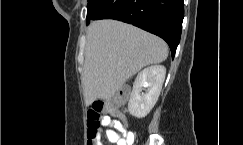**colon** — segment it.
Wrapping results in <instances>:
<instances>
[{
  "mask_svg": "<svg viewBox=\"0 0 243 145\" xmlns=\"http://www.w3.org/2000/svg\"><path fill=\"white\" fill-rule=\"evenodd\" d=\"M126 99V92L120 91L108 101H95L92 103L87 113V134L88 145H95V137L101 125V119L105 114L118 116V106Z\"/></svg>",
  "mask_w": 243,
  "mask_h": 145,
  "instance_id": "obj_1",
  "label": "colon"
}]
</instances>
